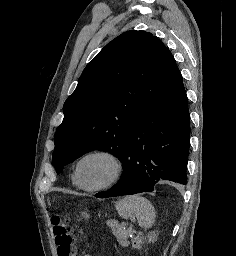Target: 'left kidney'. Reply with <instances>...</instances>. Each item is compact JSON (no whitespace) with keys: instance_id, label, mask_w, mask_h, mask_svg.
I'll return each instance as SVG.
<instances>
[{"instance_id":"obj_1","label":"left kidney","mask_w":236,"mask_h":256,"mask_svg":"<svg viewBox=\"0 0 236 256\" xmlns=\"http://www.w3.org/2000/svg\"><path fill=\"white\" fill-rule=\"evenodd\" d=\"M148 238H149V242H155V240H156L155 232H151V234H149Z\"/></svg>"}]
</instances>
